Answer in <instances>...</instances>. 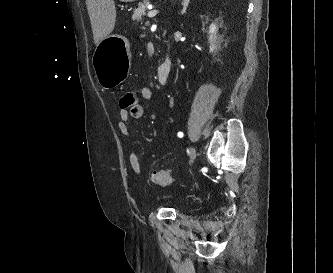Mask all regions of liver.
Segmentation results:
<instances>
[{"instance_id": "1", "label": "liver", "mask_w": 333, "mask_h": 273, "mask_svg": "<svg viewBox=\"0 0 333 273\" xmlns=\"http://www.w3.org/2000/svg\"><path fill=\"white\" fill-rule=\"evenodd\" d=\"M94 43L98 45L113 31L116 21L114 0H86Z\"/></svg>"}]
</instances>
